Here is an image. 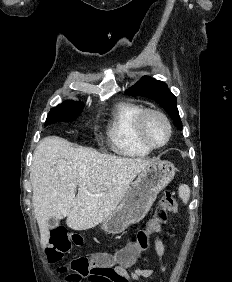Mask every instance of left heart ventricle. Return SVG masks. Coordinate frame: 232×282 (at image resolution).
<instances>
[{
  "label": "left heart ventricle",
  "instance_id": "b2bd125f",
  "mask_svg": "<svg viewBox=\"0 0 232 282\" xmlns=\"http://www.w3.org/2000/svg\"><path fill=\"white\" fill-rule=\"evenodd\" d=\"M145 135L154 144H161L167 138V127L157 116H150L145 123Z\"/></svg>",
  "mask_w": 232,
  "mask_h": 282
}]
</instances>
